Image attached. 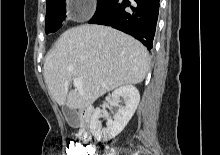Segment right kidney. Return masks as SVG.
<instances>
[{"mask_svg":"<svg viewBox=\"0 0 220 155\" xmlns=\"http://www.w3.org/2000/svg\"><path fill=\"white\" fill-rule=\"evenodd\" d=\"M122 98L125 106L119 108L115 113L113 120H108L106 128H102L100 118L102 117L101 109L96 108L90 121V131L97 139L108 141L120 134L134 115L140 101V94L133 85H125L116 89L112 93V102L117 104Z\"/></svg>","mask_w":220,"mask_h":155,"instance_id":"1","label":"right kidney"}]
</instances>
